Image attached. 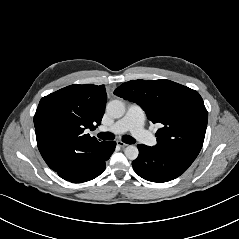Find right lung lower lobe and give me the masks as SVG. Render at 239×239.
I'll list each match as a JSON object with an SVG mask.
<instances>
[{
    "mask_svg": "<svg viewBox=\"0 0 239 239\" xmlns=\"http://www.w3.org/2000/svg\"><path fill=\"white\" fill-rule=\"evenodd\" d=\"M115 146L114 141H104L90 152H68L53 170L61 178L73 183L92 180L104 172L105 163L114 152Z\"/></svg>",
    "mask_w": 239,
    "mask_h": 239,
    "instance_id": "1",
    "label": "right lung lower lobe"
}]
</instances>
